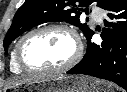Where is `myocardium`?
<instances>
[{
	"instance_id": "myocardium-1",
	"label": "myocardium",
	"mask_w": 127,
	"mask_h": 92,
	"mask_svg": "<svg viewBox=\"0 0 127 92\" xmlns=\"http://www.w3.org/2000/svg\"><path fill=\"white\" fill-rule=\"evenodd\" d=\"M48 30H61L67 32L74 40L75 43V51L72 55V57L63 65L57 68H51V69H34L29 67L23 57V48L26 44V42L36 34H39L44 31ZM82 55V44L81 40L79 38V35L75 31L74 28L66 25V24H60V23H51L46 24L43 26H40L38 28H35L28 33H26L17 43L15 48V58L18 66L27 73L30 74H55V73H63L71 69L73 66H75L78 61L80 60Z\"/></svg>"
}]
</instances>
